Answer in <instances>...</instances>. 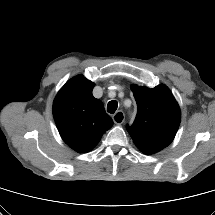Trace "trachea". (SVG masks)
<instances>
[{
    "label": "trachea",
    "instance_id": "obj_1",
    "mask_svg": "<svg viewBox=\"0 0 215 215\" xmlns=\"http://www.w3.org/2000/svg\"><path fill=\"white\" fill-rule=\"evenodd\" d=\"M117 107H118V102L115 100H112L107 105V111L113 114L116 111Z\"/></svg>",
    "mask_w": 215,
    "mask_h": 215
}]
</instances>
